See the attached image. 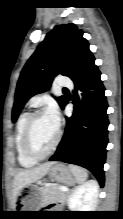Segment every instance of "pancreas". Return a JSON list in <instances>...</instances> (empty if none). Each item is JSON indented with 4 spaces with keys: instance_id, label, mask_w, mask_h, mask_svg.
<instances>
[{
    "instance_id": "obj_1",
    "label": "pancreas",
    "mask_w": 123,
    "mask_h": 219,
    "mask_svg": "<svg viewBox=\"0 0 123 219\" xmlns=\"http://www.w3.org/2000/svg\"><path fill=\"white\" fill-rule=\"evenodd\" d=\"M41 194L43 206H46L53 202H64L68 197V193L62 191L58 186L43 187L41 190Z\"/></svg>"
}]
</instances>
